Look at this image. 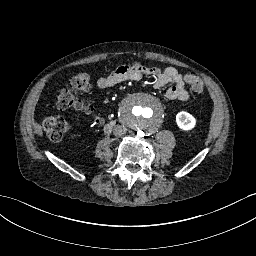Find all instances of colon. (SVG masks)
Instances as JSON below:
<instances>
[{
    "label": "colon",
    "mask_w": 256,
    "mask_h": 256,
    "mask_svg": "<svg viewBox=\"0 0 256 256\" xmlns=\"http://www.w3.org/2000/svg\"><path fill=\"white\" fill-rule=\"evenodd\" d=\"M184 81L193 92L197 94L203 92L204 84L198 74H185ZM90 85L91 82L88 74L78 73L72 76L69 80V86L66 89H60L57 92V109H71L76 112H88L89 105L85 101L75 97L73 92L88 90ZM68 128L69 123L63 118L49 117L43 122L44 132L48 139L52 142L62 141Z\"/></svg>",
    "instance_id": "colon-1"
}]
</instances>
